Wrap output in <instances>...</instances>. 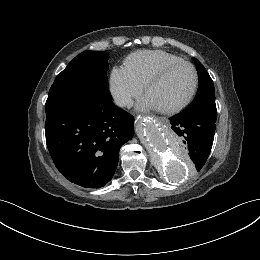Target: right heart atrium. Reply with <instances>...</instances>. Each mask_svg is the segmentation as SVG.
Listing matches in <instances>:
<instances>
[{
  "label": "right heart atrium",
  "instance_id": "1",
  "mask_svg": "<svg viewBox=\"0 0 260 260\" xmlns=\"http://www.w3.org/2000/svg\"><path fill=\"white\" fill-rule=\"evenodd\" d=\"M110 87L116 103L121 107L129 106L143 90V84L136 81L124 67H114Z\"/></svg>",
  "mask_w": 260,
  "mask_h": 260
}]
</instances>
